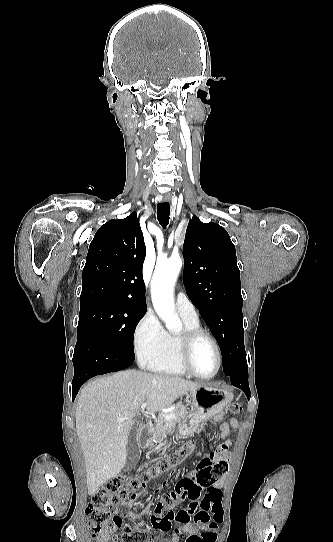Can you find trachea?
<instances>
[{
    "mask_svg": "<svg viewBox=\"0 0 333 542\" xmlns=\"http://www.w3.org/2000/svg\"><path fill=\"white\" fill-rule=\"evenodd\" d=\"M169 215H170L169 203L168 202L158 203L157 217H158L159 223L162 225L163 228H166V226L169 223Z\"/></svg>",
    "mask_w": 333,
    "mask_h": 542,
    "instance_id": "trachea-1",
    "label": "trachea"
}]
</instances>
